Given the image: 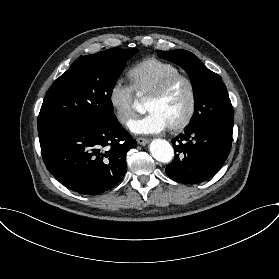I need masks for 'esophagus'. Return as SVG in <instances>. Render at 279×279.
<instances>
[{
  "mask_svg": "<svg viewBox=\"0 0 279 279\" xmlns=\"http://www.w3.org/2000/svg\"><path fill=\"white\" fill-rule=\"evenodd\" d=\"M137 143L141 146H145L149 143V140L146 138H137Z\"/></svg>",
  "mask_w": 279,
  "mask_h": 279,
  "instance_id": "esophagus-1",
  "label": "esophagus"
}]
</instances>
